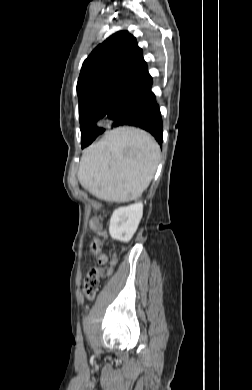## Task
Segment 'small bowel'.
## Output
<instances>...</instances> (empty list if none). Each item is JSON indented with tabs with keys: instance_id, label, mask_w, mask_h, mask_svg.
<instances>
[{
	"instance_id": "1",
	"label": "small bowel",
	"mask_w": 252,
	"mask_h": 390,
	"mask_svg": "<svg viewBox=\"0 0 252 390\" xmlns=\"http://www.w3.org/2000/svg\"><path fill=\"white\" fill-rule=\"evenodd\" d=\"M96 219H97V218L93 219V221L91 222V225H92V227H93L94 229H97ZM106 260H107V259H106L105 256H103V257L100 258V261H101L102 263L106 262Z\"/></svg>"
}]
</instances>
